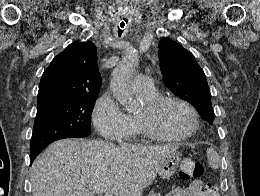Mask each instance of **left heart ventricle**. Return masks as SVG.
I'll use <instances>...</instances> for the list:
<instances>
[{
    "instance_id": "left-heart-ventricle-1",
    "label": "left heart ventricle",
    "mask_w": 260,
    "mask_h": 196,
    "mask_svg": "<svg viewBox=\"0 0 260 196\" xmlns=\"http://www.w3.org/2000/svg\"><path fill=\"white\" fill-rule=\"evenodd\" d=\"M149 120L151 125L166 135L181 136L190 131L194 125L192 113L183 105L170 103L154 116L145 113L144 105L137 113ZM101 192L107 190H100Z\"/></svg>"
}]
</instances>
